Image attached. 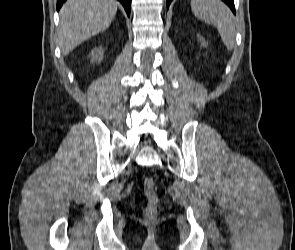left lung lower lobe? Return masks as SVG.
Instances as JSON below:
<instances>
[{
    "instance_id": "left-lung-lower-lobe-1",
    "label": "left lung lower lobe",
    "mask_w": 295,
    "mask_h": 250,
    "mask_svg": "<svg viewBox=\"0 0 295 250\" xmlns=\"http://www.w3.org/2000/svg\"><path fill=\"white\" fill-rule=\"evenodd\" d=\"M172 0H167V8L169 7L170 3ZM223 2H225L233 11V13H235V7H234V0H222Z\"/></svg>"
}]
</instances>
